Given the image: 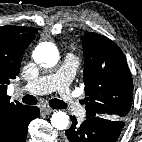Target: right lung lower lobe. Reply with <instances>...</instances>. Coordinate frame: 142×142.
Returning a JSON list of instances; mask_svg holds the SVG:
<instances>
[{
	"label": "right lung lower lobe",
	"instance_id": "obj_1",
	"mask_svg": "<svg viewBox=\"0 0 142 142\" xmlns=\"http://www.w3.org/2000/svg\"><path fill=\"white\" fill-rule=\"evenodd\" d=\"M40 114L38 107L26 106L5 124L0 132V142H25L29 123Z\"/></svg>",
	"mask_w": 142,
	"mask_h": 142
}]
</instances>
